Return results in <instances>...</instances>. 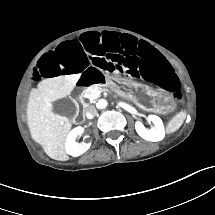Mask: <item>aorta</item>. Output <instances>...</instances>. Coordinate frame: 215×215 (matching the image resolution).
Wrapping results in <instances>:
<instances>
[{
	"instance_id": "obj_1",
	"label": "aorta",
	"mask_w": 215,
	"mask_h": 215,
	"mask_svg": "<svg viewBox=\"0 0 215 215\" xmlns=\"http://www.w3.org/2000/svg\"><path fill=\"white\" fill-rule=\"evenodd\" d=\"M108 105V102L105 100V99H100L98 102H97V107L99 109H105Z\"/></svg>"
}]
</instances>
